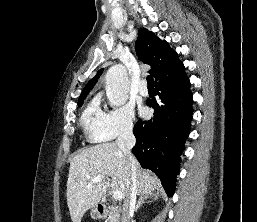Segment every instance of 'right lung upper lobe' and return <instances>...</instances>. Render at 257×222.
<instances>
[{"instance_id":"cb5924a9","label":"right lung upper lobe","mask_w":257,"mask_h":222,"mask_svg":"<svg viewBox=\"0 0 257 222\" xmlns=\"http://www.w3.org/2000/svg\"><path fill=\"white\" fill-rule=\"evenodd\" d=\"M135 49L139 59L143 63L151 65L150 73L155 77V82L184 72V65L178 59L177 53L170 48L166 41H161L145 28L139 32ZM102 72L103 69L99 70L96 76L87 83L81 92L78 103L85 99Z\"/></svg>"}]
</instances>
